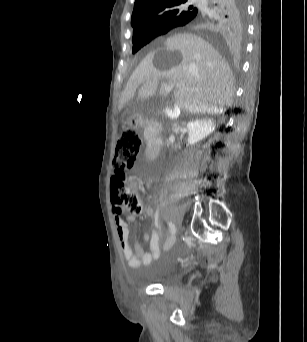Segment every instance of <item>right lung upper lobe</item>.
Instances as JSON below:
<instances>
[{"mask_svg":"<svg viewBox=\"0 0 307 342\" xmlns=\"http://www.w3.org/2000/svg\"><path fill=\"white\" fill-rule=\"evenodd\" d=\"M236 0H136L132 13L133 35L151 31H169L189 25L203 35L224 40L230 29Z\"/></svg>","mask_w":307,"mask_h":342,"instance_id":"obj_1","label":"right lung upper lobe"}]
</instances>
